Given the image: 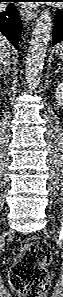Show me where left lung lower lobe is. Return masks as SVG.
I'll list each match as a JSON object with an SVG mask.
<instances>
[{
  "label": "left lung lower lobe",
  "instance_id": "left-lung-lower-lobe-1",
  "mask_svg": "<svg viewBox=\"0 0 63 297\" xmlns=\"http://www.w3.org/2000/svg\"><path fill=\"white\" fill-rule=\"evenodd\" d=\"M61 1V0H60ZM63 2V1H62ZM63 41V8L58 9L54 20L52 45Z\"/></svg>",
  "mask_w": 63,
  "mask_h": 297
}]
</instances>
